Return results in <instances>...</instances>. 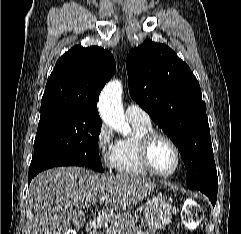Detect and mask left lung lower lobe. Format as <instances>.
<instances>
[{
	"mask_svg": "<svg viewBox=\"0 0 241 234\" xmlns=\"http://www.w3.org/2000/svg\"><path fill=\"white\" fill-rule=\"evenodd\" d=\"M205 194L209 197V199L211 200V202H212V204L214 206L215 203H216V200H217V193L216 194H211L210 192H206Z\"/></svg>",
	"mask_w": 241,
	"mask_h": 234,
	"instance_id": "obj_1",
	"label": "left lung lower lobe"
}]
</instances>
